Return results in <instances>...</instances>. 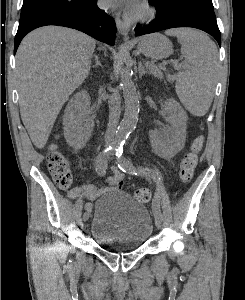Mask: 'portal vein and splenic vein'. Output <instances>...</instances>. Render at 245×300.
<instances>
[{"label":"portal vein and splenic vein","instance_id":"1","mask_svg":"<svg viewBox=\"0 0 245 300\" xmlns=\"http://www.w3.org/2000/svg\"><path fill=\"white\" fill-rule=\"evenodd\" d=\"M171 62H172L176 67H179V66H177V60H172ZM147 65H148V66H151L152 63H147Z\"/></svg>","mask_w":245,"mask_h":300}]
</instances>
